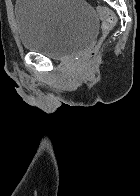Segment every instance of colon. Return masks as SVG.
Wrapping results in <instances>:
<instances>
[{
  "mask_svg": "<svg viewBox=\"0 0 140 196\" xmlns=\"http://www.w3.org/2000/svg\"><path fill=\"white\" fill-rule=\"evenodd\" d=\"M97 12L101 20L102 24V37L98 41V43L95 45L93 49L89 51V53L84 58L81 69L83 71H86L91 67V65L94 63V61L97 58L99 48L101 46V43L104 39V37L107 35V33L114 27L116 24L117 18L115 13L110 10L109 8L103 7V6H97Z\"/></svg>",
  "mask_w": 140,
  "mask_h": 196,
  "instance_id": "colon-1",
  "label": "colon"
}]
</instances>
